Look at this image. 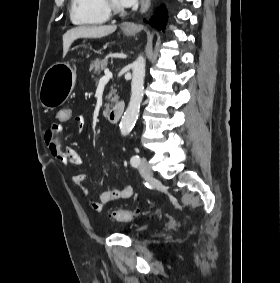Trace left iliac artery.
I'll return each mask as SVG.
<instances>
[{
  "mask_svg": "<svg viewBox=\"0 0 280 283\" xmlns=\"http://www.w3.org/2000/svg\"><path fill=\"white\" fill-rule=\"evenodd\" d=\"M130 163L133 167H137L140 163V157L138 155H135L131 158Z\"/></svg>",
  "mask_w": 280,
  "mask_h": 283,
  "instance_id": "1",
  "label": "left iliac artery"
}]
</instances>
